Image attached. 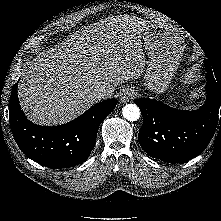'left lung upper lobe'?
Wrapping results in <instances>:
<instances>
[{
	"instance_id": "left-lung-upper-lobe-1",
	"label": "left lung upper lobe",
	"mask_w": 221,
	"mask_h": 221,
	"mask_svg": "<svg viewBox=\"0 0 221 221\" xmlns=\"http://www.w3.org/2000/svg\"><path fill=\"white\" fill-rule=\"evenodd\" d=\"M204 64H205V68L206 67H210L211 68V66L209 65V62L207 60L204 61Z\"/></svg>"
}]
</instances>
